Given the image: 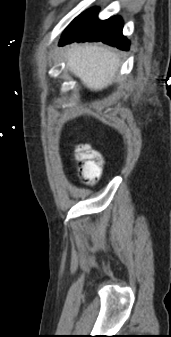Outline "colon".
Listing matches in <instances>:
<instances>
[{
  "label": "colon",
  "instance_id": "5ec220e1",
  "mask_svg": "<svg viewBox=\"0 0 171 337\" xmlns=\"http://www.w3.org/2000/svg\"><path fill=\"white\" fill-rule=\"evenodd\" d=\"M72 150L81 176L87 182L94 184L103 171L102 154L86 143H77L72 147Z\"/></svg>",
  "mask_w": 171,
  "mask_h": 337
}]
</instances>
